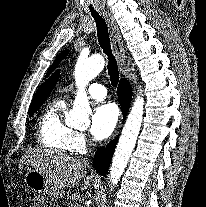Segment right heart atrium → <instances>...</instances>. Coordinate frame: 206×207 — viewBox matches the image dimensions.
<instances>
[{"instance_id": "d8ad5b80", "label": "right heart atrium", "mask_w": 206, "mask_h": 207, "mask_svg": "<svg viewBox=\"0 0 206 207\" xmlns=\"http://www.w3.org/2000/svg\"><path fill=\"white\" fill-rule=\"evenodd\" d=\"M74 151L83 152L88 147V139L83 132H75L73 138Z\"/></svg>"}]
</instances>
